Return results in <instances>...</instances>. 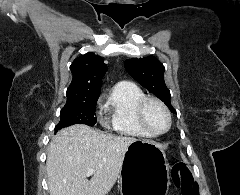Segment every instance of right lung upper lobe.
I'll return each instance as SVG.
<instances>
[{
  "instance_id": "cb5924a9",
  "label": "right lung upper lobe",
  "mask_w": 240,
  "mask_h": 195,
  "mask_svg": "<svg viewBox=\"0 0 240 195\" xmlns=\"http://www.w3.org/2000/svg\"><path fill=\"white\" fill-rule=\"evenodd\" d=\"M73 79L67 89V99L99 97L101 81L107 70L103 59L92 52L76 58L70 66Z\"/></svg>"
}]
</instances>
